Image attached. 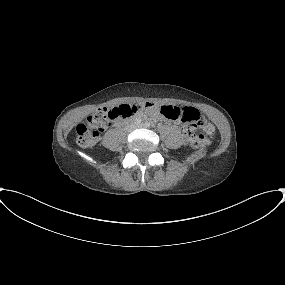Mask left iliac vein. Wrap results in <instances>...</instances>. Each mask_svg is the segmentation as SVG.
<instances>
[{
	"mask_svg": "<svg viewBox=\"0 0 285 285\" xmlns=\"http://www.w3.org/2000/svg\"><path fill=\"white\" fill-rule=\"evenodd\" d=\"M143 126H144L143 124H139V125H138V127H143Z\"/></svg>",
	"mask_w": 285,
	"mask_h": 285,
	"instance_id": "obj_1",
	"label": "left iliac vein"
}]
</instances>
